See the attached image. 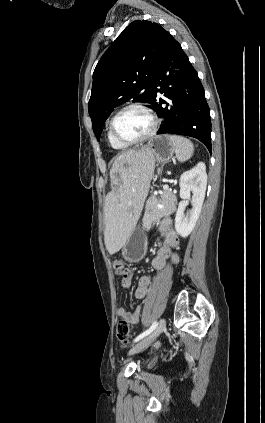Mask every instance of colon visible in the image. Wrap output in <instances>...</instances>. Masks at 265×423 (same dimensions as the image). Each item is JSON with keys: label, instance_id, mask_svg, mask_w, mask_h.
<instances>
[{"label": "colon", "instance_id": "colon-1", "mask_svg": "<svg viewBox=\"0 0 265 423\" xmlns=\"http://www.w3.org/2000/svg\"><path fill=\"white\" fill-rule=\"evenodd\" d=\"M124 263L121 259H116L113 262V268L116 271H122L124 269ZM116 336L117 339L123 343V344H127L129 342L130 339V329L128 324L125 321H121L118 323L117 327H116ZM158 344H155V347H157Z\"/></svg>", "mask_w": 265, "mask_h": 423}]
</instances>
